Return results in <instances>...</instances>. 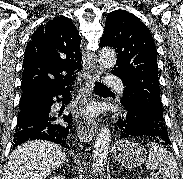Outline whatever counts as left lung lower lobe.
Returning a JSON list of instances; mask_svg holds the SVG:
<instances>
[{"label": "left lung lower lobe", "mask_w": 183, "mask_h": 179, "mask_svg": "<svg viewBox=\"0 0 183 179\" xmlns=\"http://www.w3.org/2000/svg\"><path fill=\"white\" fill-rule=\"evenodd\" d=\"M123 106V114L115 123V130L118 131L120 139L148 136L171 144L164 122L157 121L154 116L144 111L136 103L127 102Z\"/></svg>", "instance_id": "0a47b994"}]
</instances>
